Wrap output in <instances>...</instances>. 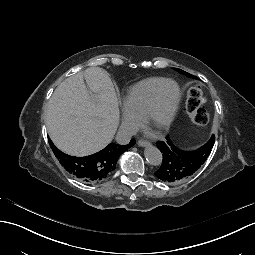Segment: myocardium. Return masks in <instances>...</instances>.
<instances>
[{"label": "myocardium", "instance_id": "obj_1", "mask_svg": "<svg viewBox=\"0 0 255 255\" xmlns=\"http://www.w3.org/2000/svg\"><path fill=\"white\" fill-rule=\"evenodd\" d=\"M167 84H171L175 87V96L168 112L164 116L159 118L158 131L154 133L158 136H162L165 132L169 130L177 116L181 102V89L177 82L170 79L164 80L153 94L149 108L146 110V112L141 116L140 120L138 121L139 126L141 128L146 129L147 123L150 120L157 118L160 97L165 85Z\"/></svg>", "mask_w": 255, "mask_h": 255}]
</instances>
